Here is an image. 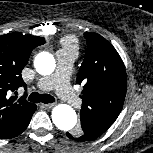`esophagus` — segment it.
<instances>
[{
	"instance_id": "1",
	"label": "esophagus",
	"mask_w": 153,
	"mask_h": 153,
	"mask_svg": "<svg viewBox=\"0 0 153 153\" xmlns=\"http://www.w3.org/2000/svg\"><path fill=\"white\" fill-rule=\"evenodd\" d=\"M55 106L54 103H50V104H41V107L46 108V109H51Z\"/></svg>"
}]
</instances>
